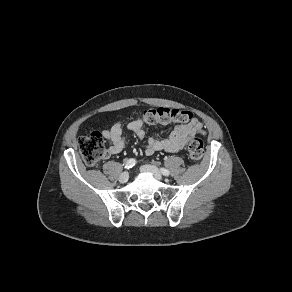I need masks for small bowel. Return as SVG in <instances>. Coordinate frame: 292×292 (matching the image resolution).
<instances>
[{
  "instance_id": "c3829d8e",
  "label": "small bowel",
  "mask_w": 292,
  "mask_h": 292,
  "mask_svg": "<svg viewBox=\"0 0 292 292\" xmlns=\"http://www.w3.org/2000/svg\"><path fill=\"white\" fill-rule=\"evenodd\" d=\"M174 122H176V125L171 130L169 136L164 139H146L143 127L148 122L141 116H137L129 122L127 128L139 139H146L145 153L148 156L153 155L157 151L178 152L185 147L192 137L205 134L202 123L188 111H185L183 120ZM103 136L108 143V149L104 155L105 158L119 154L124 149L126 139L121 122H116L111 128L104 130Z\"/></svg>"
}]
</instances>
